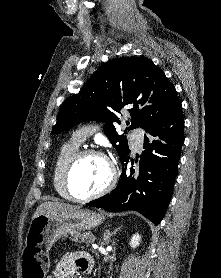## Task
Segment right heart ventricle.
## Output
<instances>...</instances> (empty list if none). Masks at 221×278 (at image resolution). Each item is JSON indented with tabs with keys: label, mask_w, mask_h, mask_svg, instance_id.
<instances>
[{
	"label": "right heart ventricle",
	"mask_w": 221,
	"mask_h": 278,
	"mask_svg": "<svg viewBox=\"0 0 221 278\" xmlns=\"http://www.w3.org/2000/svg\"><path fill=\"white\" fill-rule=\"evenodd\" d=\"M82 142L74 137L65 142L57 154V158L53 168L52 181L56 192L63 198L69 199L62 183L63 171L69 159L79 150Z\"/></svg>",
	"instance_id": "1"
}]
</instances>
